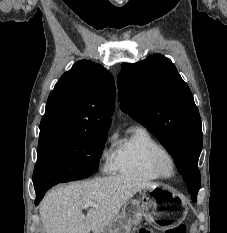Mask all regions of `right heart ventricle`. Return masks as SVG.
I'll return each instance as SVG.
<instances>
[{
	"label": "right heart ventricle",
	"instance_id": "e07e8e85",
	"mask_svg": "<svg viewBox=\"0 0 227 233\" xmlns=\"http://www.w3.org/2000/svg\"><path fill=\"white\" fill-rule=\"evenodd\" d=\"M164 147L142 127H132L115 147L112 171L126 177L155 181L160 177L152 167L153 157Z\"/></svg>",
	"mask_w": 227,
	"mask_h": 233
}]
</instances>
